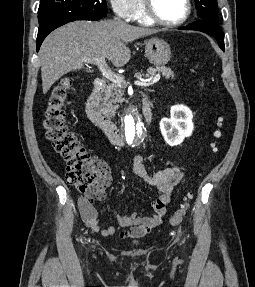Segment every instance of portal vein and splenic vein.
I'll return each instance as SVG.
<instances>
[{
    "instance_id": "obj_1",
    "label": "portal vein and splenic vein",
    "mask_w": 255,
    "mask_h": 287,
    "mask_svg": "<svg viewBox=\"0 0 255 287\" xmlns=\"http://www.w3.org/2000/svg\"><path fill=\"white\" fill-rule=\"evenodd\" d=\"M83 62H87V64H96L104 78H107L110 82H115V84H122V82H124L123 76H117V74H113V72L109 70L104 56H100V58H83ZM160 78V74H156L154 78H149V80H137L134 84L135 86H144V88H147V86H153V84L159 82Z\"/></svg>"
}]
</instances>
